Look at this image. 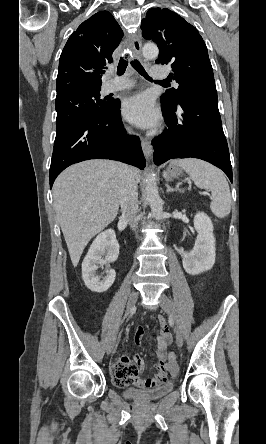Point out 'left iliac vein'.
Here are the masks:
<instances>
[{
    "label": "left iliac vein",
    "mask_w": 266,
    "mask_h": 444,
    "mask_svg": "<svg viewBox=\"0 0 266 444\" xmlns=\"http://www.w3.org/2000/svg\"><path fill=\"white\" fill-rule=\"evenodd\" d=\"M160 306L162 309L173 319L175 320V311L173 307L172 301L164 294L162 293L160 295ZM175 334H176V343L178 347H182L183 345V335L180 329L177 325H175Z\"/></svg>",
    "instance_id": "obj_1"
}]
</instances>
